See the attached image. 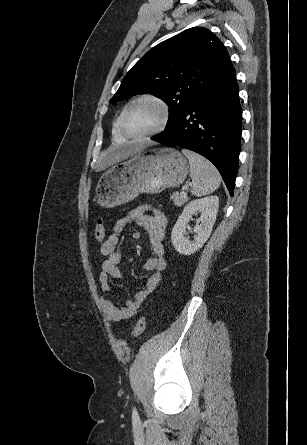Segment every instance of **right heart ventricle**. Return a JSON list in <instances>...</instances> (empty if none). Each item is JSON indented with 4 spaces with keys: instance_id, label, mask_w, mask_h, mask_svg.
I'll return each mask as SVG.
<instances>
[{
    "instance_id": "1",
    "label": "right heart ventricle",
    "mask_w": 307,
    "mask_h": 445,
    "mask_svg": "<svg viewBox=\"0 0 307 445\" xmlns=\"http://www.w3.org/2000/svg\"><path fill=\"white\" fill-rule=\"evenodd\" d=\"M113 141L116 144H119V140H126L127 137L122 130L121 117H119L112 128Z\"/></svg>"
}]
</instances>
